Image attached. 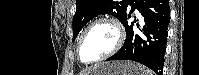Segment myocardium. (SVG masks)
<instances>
[{"label": "myocardium", "instance_id": "myocardium-1", "mask_svg": "<svg viewBox=\"0 0 199 75\" xmlns=\"http://www.w3.org/2000/svg\"><path fill=\"white\" fill-rule=\"evenodd\" d=\"M100 24L109 25L111 28H113V30L115 31V38H116L115 44L111 50H109L107 53H105L101 57H99L93 61H90V62H85L80 57V49H81L83 39L93 27L100 25ZM124 39H125L124 29H123L121 23L116 18L108 17V16L96 18L84 29V31L82 32V34L80 35V37L78 39L77 46H76L77 59L79 60L80 63L85 64V65L99 63V62L111 57L116 52H118L124 43Z\"/></svg>", "mask_w": 199, "mask_h": 75}]
</instances>
